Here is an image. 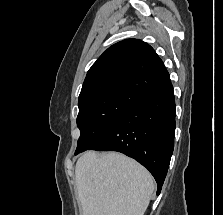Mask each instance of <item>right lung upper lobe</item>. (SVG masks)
<instances>
[{
    "mask_svg": "<svg viewBox=\"0 0 223 215\" xmlns=\"http://www.w3.org/2000/svg\"><path fill=\"white\" fill-rule=\"evenodd\" d=\"M170 82L168 71L150 45L126 39L108 48L89 69L78 105L114 90L143 96Z\"/></svg>",
    "mask_w": 223,
    "mask_h": 215,
    "instance_id": "1",
    "label": "right lung upper lobe"
}]
</instances>
